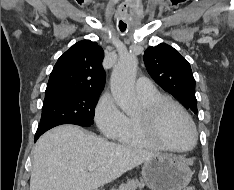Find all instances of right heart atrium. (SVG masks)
<instances>
[{"mask_svg": "<svg viewBox=\"0 0 234 190\" xmlns=\"http://www.w3.org/2000/svg\"><path fill=\"white\" fill-rule=\"evenodd\" d=\"M99 130L108 138H117L123 128L125 115L111 94L105 93L98 100L94 111Z\"/></svg>", "mask_w": 234, "mask_h": 190, "instance_id": "d8ad5b80", "label": "right heart atrium"}]
</instances>
